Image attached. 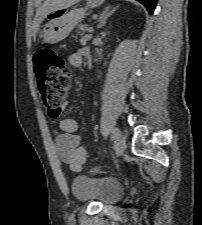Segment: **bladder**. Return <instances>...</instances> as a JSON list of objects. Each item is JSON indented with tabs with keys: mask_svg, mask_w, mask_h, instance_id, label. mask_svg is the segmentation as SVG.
<instances>
[{
	"mask_svg": "<svg viewBox=\"0 0 202 225\" xmlns=\"http://www.w3.org/2000/svg\"><path fill=\"white\" fill-rule=\"evenodd\" d=\"M71 190L81 202L92 201L104 206L115 204L123 197V187L118 180L90 174L77 176L71 183Z\"/></svg>",
	"mask_w": 202,
	"mask_h": 225,
	"instance_id": "bladder-1",
	"label": "bladder"
}]
</instances>
